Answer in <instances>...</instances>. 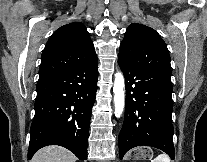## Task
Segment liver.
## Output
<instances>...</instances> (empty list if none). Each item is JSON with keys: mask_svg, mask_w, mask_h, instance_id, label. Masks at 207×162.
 Returning a JSON list of instances; mask_svg holds the SVG:
<instances>
[{"mask_svg": "<svg viewBox=\"0 0 207 162\" xmlns=\"http://www.w3.org/2000/svg\"><path fill=\"white\" fill-rule=\"evenodd\" d=\"M76 160L75 155L69 150L51 145L37 151L30 162H76Z\"/></svg>", "mask_w": 207, "mask_h": 162, "instance_id": "1", "label": "liver"}]
</instances>
